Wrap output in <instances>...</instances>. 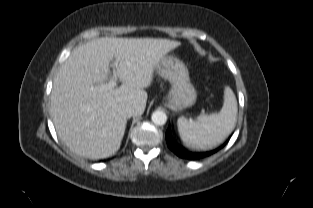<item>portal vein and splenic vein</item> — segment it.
Wrapping results in <instances>:
<instances>
[{
  "mask_svg": "<svg viewBox=\"0 0 313 208\" xmlns=\"http://www.w3.org/2000/svg\"><path fill=\"white\" fill-rule=\"evenodd\" d=\"M118 63H119V60H115L113 62V66L115 68H117ZM115 86H116V75L113 74V77L110 79V81L108 82L107 85H102V86H98V87L97 86H91V91H98V90H102L104 88H113Z\"/></svg>",
  "mask_w": 313,
  "mask_h": 208,
  "instance_id": "portal-vein-and-splenic-vein-1",
  "label": "portal vein and splenic vein"
}]
</instances>
